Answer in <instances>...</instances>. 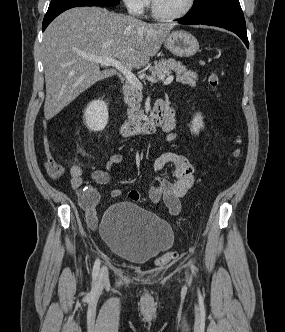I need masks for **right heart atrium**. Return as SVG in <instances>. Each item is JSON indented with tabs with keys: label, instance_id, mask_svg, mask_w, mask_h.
<instances>
[{
	"label": "right heart atrium",
	"instance_id": "1",
	"mask_svg": "<svg viewBox=\"0 0 285 332\" xmlns=\"http://www.w3.org/2000/svg\"><path fill=\"white\" fill-rule=\"evenodd\" d=\"M128 12L139 16L144 13L149 5V0H122Z\"/></svg>",
	"mask_w": 285,
	"mask_h": 332
}]
</instances>
